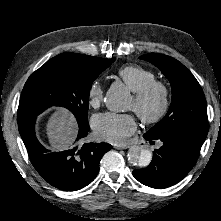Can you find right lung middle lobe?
Segmentation results:
<instances>
[{
  "instance_id": "obj_1",
  "label": "right lung middle lobe",
  "mask_w": 221,
  "mask_h": 221,
  "mask_svg": "<svg viewBox=\"0 0 221 221\" xmlns=\"http://www.w3.org/2000/svg\"><path fill=\"white\" fill-rule=\"evenodd\" d=\"M114 61L115 58L97 57L88 68L71 70L49 60L25 83L18 107V124L36 118L51 106L65 107L75 115L78 123H88L91 85Z\"/></svg>"
}]
</instances>
